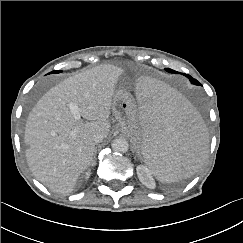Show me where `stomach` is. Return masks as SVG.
I'll list each match as a JSON object with an SVG mask.
<instances>
[{
    "label": "stomach",
    "mask_w": 243,
    "mask_h": 243,
    "mask_svg": "<svg viewBox=\"0 0 243 243\" xmlns=\"http://www.w3.org/2000/svg\"><path fill=\"white\" fill-rule=\"evenodd\" d=\"M111 110L119 123L121 131L127 134L136 145L138 130L133 96L122 88L117 89L113 95Z\"/></svg>",
    "instance_id": "0dacf381"
}]
</instances>
